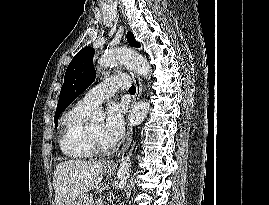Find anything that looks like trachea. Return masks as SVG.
<instances>
[{"label": "trachea", "mask_w": 269, "mask_h": 205, "mask_svg": "<svg viewBox=\"0 0 269 205\" xmlns=\"http://www.w3.org/2000/svg\"><path fill=\"white\" fill-rule=\"evenodd\" d=\"M129 93H130V94H135V93H136V87H135V86H131V87L129 88Z\"/></svg>", "instance_id": "trachea-1"}]
</instances>
